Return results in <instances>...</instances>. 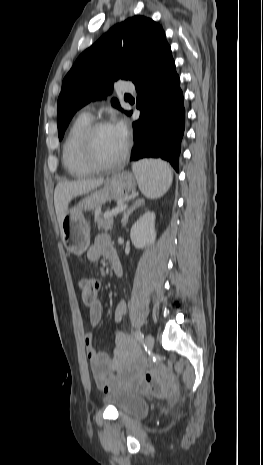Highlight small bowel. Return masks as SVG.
<instances>
[{"instance_id":"obj_1","label":"small bowel","mask_w":263,"mask_h":465,"mask_svg":"<svg viewBox=\"0 0 263 465\" xmlns=\"http://www.w3.org/2000/svg\"><path fill=\"white\" fill-rule=\"evenodd\" d=\"M116 253L108 235H98L87 251L90 262H98L101 258L109 260ZM127 311L124 300H120L115 307L114 322L118 325ZM103 318V307L96 301L89 308V322L97 326ZM117 347L114 355L106 351L97 350L94 345L92 332L84 336V344L90 367L97 386L104 392L110 393L117 389H132L139 392L151 391L160 394L171 384L170 377L162 370L153 368L147 370L138 363L139 350L134 340L119 328L115 329Z\"/></svg>"}]
</instances>
